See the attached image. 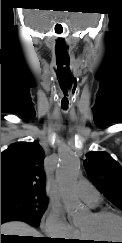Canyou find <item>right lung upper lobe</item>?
Masks as SVG:
<instances>
[{
    "label": "right lung upper lobe",
    "mask_w": 122,
    "mask_h": 243,
    "mask_svg": "<svg viewBox=\"0 0 122 243\" xmlns=\"http://www.w3.org/2000/svg\"><path fill=\"white\" fill-rule=\"evenodd\" d=\"M44 151L37 141L17 142L1 153V196L45 197Z\"/></svg>",
    "instance_id": "right-lung-upper-lobe-1"
}]
</instances>
